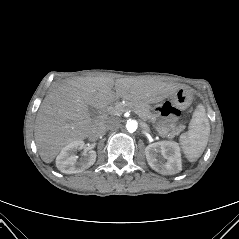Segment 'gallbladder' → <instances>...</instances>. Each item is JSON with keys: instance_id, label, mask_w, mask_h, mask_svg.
<instances>
[{"instance_id": "obj_1", "label": "gallbladder", "mask_w": 239, "mask_h": 239, "mask_svg": "<svg viewBox=\"0 0 239 239\" xmlns=\"http://www.w3.org/2000/svg\"><path fill=\"white\" fill-rule=\"evenodd\" d=\"M89 113L92 117H95L97 115V110L92 106H89Z\"/></svg>"}]
</instances>
